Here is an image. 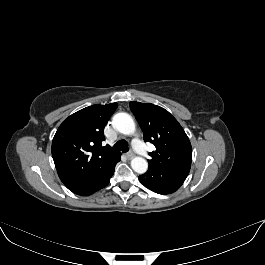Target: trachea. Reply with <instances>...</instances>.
<instances>
[{"label": "trachea", "mask_w": 265, "mask_h": 265, "mask_svg": "<svg viewBox=\"0 0 265 265\" xmlns=\"http://www.w3.org/2000/svg\"><path fill=\"white\" fill-rule=\"evenodd\" d=\"M113 149L116 151L127 152L129 147L125 140H120L114 145Z\"/></svg>", "instance_id": "1"}]
</instances>
